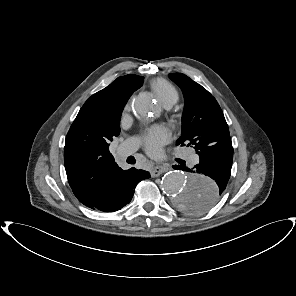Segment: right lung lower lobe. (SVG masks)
<instances>
[{"mask_svg": "<svg viewBox=\"0 0 296 296\" xmlns=\"http://www.w3.org/2000/svg\"><path fill=\"white\" fill-rule=\"evenodd\" d=\"M147 178H150L147 171L135 168L121 170L85 206L102 212L120 210L131 201L136 185Z\"/></svg>", "mask_w": 296, "mask_h": 296, "instance_id": "obj_1", "label": "right lung lower lobe"}]
</instances>
